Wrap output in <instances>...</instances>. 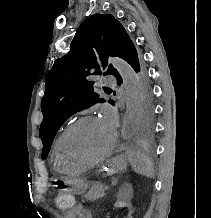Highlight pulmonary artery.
Here are the masks:
<instances>
[{
	"label": "pulmonary artery",
	"mask_w": 211,
	"mask_h": 218,
	"mask_svg": "<svg viewBox=\"0 0 211 218\" xmlns=\"http://www.w3.org/2000/svg\"><path fill=\"white\" fill-rule=\"evenodd\" d=\"M119 81L116 80V75H103V85H111V88H114V85H118Z\"/></svg>",
	"instance_id": "pulmonary-artery-1"
}]
</instances>
